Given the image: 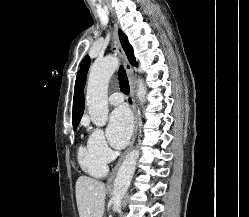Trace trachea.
Masks as SVG:
<instances>
[{"label":"trachea","mask_w":249,"mask_h":217,"mask_svg":"<svg viewBox=\"0 0 249 217\" xmlns=\"http://www.w3.org/2000/svg\"><path fill=\"white\" fill-rule=\"evenodd\" d=\"M118 80H119L121 91L127 95L130 91L129 82H128L125 69L122 66L118 70Z\"/></svg>","instance_id":"1"}]
</instances>
